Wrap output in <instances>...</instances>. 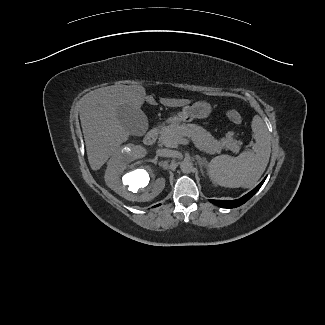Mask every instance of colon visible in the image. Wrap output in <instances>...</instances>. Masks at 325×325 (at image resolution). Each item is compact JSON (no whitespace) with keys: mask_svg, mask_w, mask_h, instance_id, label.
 <instances>
[{"mask_svg":"<svg viewBox=\"0 0 325 325\" xmlns=\"http://www.w3.org/2000/svg\"><path fill=\"white\" fill-rule=\"evenodd\" d=\"M226 116L230 121H232L235 124H241L242 123V116L236 110H228L226 112Z\"/></svg>","mask_w":325,"mask_h":325,"instance_id":"colon-1","label":"colon"}]
</instances>
